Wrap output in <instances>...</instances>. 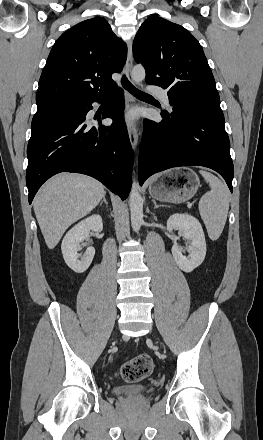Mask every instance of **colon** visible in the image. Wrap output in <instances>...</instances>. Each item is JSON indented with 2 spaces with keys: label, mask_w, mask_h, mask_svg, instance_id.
<instances>
[{
  "label": "colon",
  "mask_w": 263,
  "mask_h": 440,
  "mask_svg": "<svg viewBox=\"0 0 263 440\" xmlns=\"http://www.w3.org/2000/svg\"><path fill=\"white\" fill-rule=\"evenodd\" d=\"M152 370L151 357L147 354H141L125 362L119 369L118 376L125 382L136 383L149 376Z\"/></svg>",
  "instance_id": "obj_1"
}]
</instances>
